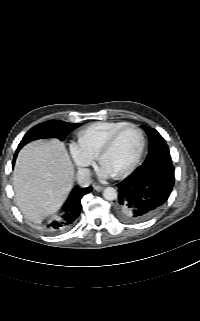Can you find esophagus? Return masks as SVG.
I'll use <instances>...</instances> for the list:
<instances>
[{"mask_svg":"<svg viewBox=\"0 0 200 321\" xmlns=\"http://www.w3.org/2000/svg\"><path fill=\"white\" fill-rule=\"evenodd\" d=\"M93 188L98 192H100V191H102L104 189V187L101 186V185H94Z\"/></svg>","mask_w":200,"mask_h":321,"instance_id":"obj_1","label":"esophagus"}]
</instances>
